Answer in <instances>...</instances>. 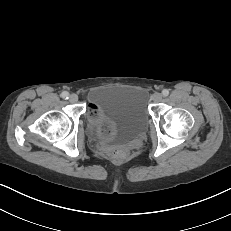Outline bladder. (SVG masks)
Wrapping results in <instances>:
<instances>
[{
    "instance_id": "obj_1",
    "label": "bladder",
    "mask_w": 231,
    "mask_h": 231,
    "mask_svg": "<svg viewBox=\"0 0 231 231\" xmlns=\"http://www.w3.org/2000/svg\"><path fill=\"white\" fill-rule=\"evenodd\" d=\"M147 93L140 87H113L94 91L89 99L88 132L96 140L128 143L147 131L150 114Z\"/></svg>"
}]
</instances>
